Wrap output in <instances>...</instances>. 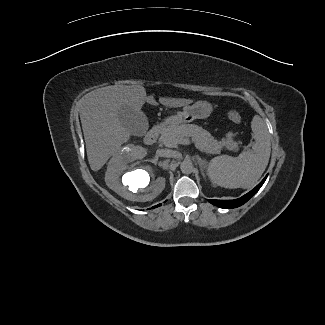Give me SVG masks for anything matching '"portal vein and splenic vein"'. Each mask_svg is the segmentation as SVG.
Returning <instances> with one entry per match:
<instances>
[{
    "mask_svg": "<svg viewBox=\"0 0 325 325\" xmlns=\"http://www.w3.org/2000/svg\"><path fill=\"white\" fill-rule=\"evenodd\" d=\"M174 144H184V145H188L190 144V140L186 139V138H181V139H175L174 140Z\"/></svg>",
    "mask_w": 325,
    "mask_h": 325,
    "instance_id": "obj_1",
    "label": "portal vein and splenic vein"
}]
</instances>
